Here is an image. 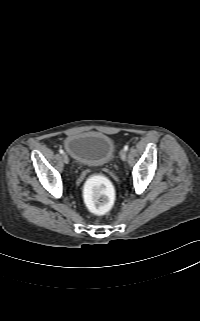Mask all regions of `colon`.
<instances>
[{
    "label": "colon",
    "instance_id": "colon-1",
    "mask_svg": "<svg viewBox=\"0 0 200 321\" xmlns=\"http://www.w3.org/2000/svg\"><path fill=\"white\" fill-rule=\"evenodd\" d=\"M85 200L91 212L103 215L112 208L115 193L104 178L96 176L91 178L85 187Z\"/></svg>",
    "mask_w": 200,
    "mask_h": 321
}]
</instances>
